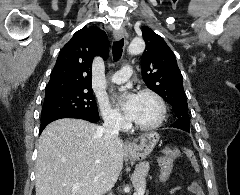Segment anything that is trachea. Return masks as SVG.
<instances>
[{
    "mask_svg": "<svg viewBox=\"0 0 240 195\" xmlns=\"http://www.w3.org/2000/svg\"><path fill=\"white\" fill-rule=\"evenodd\" d=\"M124 45V39L122 38L121 40L114 42L112 46V54H113V60L117 62L120 60L122 56V48Z\"/></svg>",
    "mask_w": 240,
    "mask_h": 195,
    "instance_id": "3493384b",
    "label": "trachea"
}]
</instances>
